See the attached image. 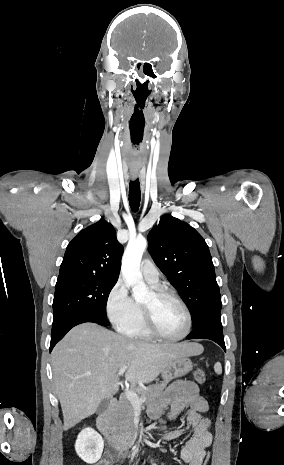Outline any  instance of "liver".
<instances>
[{"label":"liver","mask_w":284,"mask_h":465,"mask_svg":"<svg viewBox=\"0 0 284 465\" xmlns=\"http://www.w3.org/2000/svg\"><path fill=\"white\" fill-rule=\"evenodd\" d=\"M203 351L199 343L151 345L126 339L95 323L74 327L52 351L63 431L94 415L103 399H112L122 367H128L125 379L135 387L152 383L177 357H195Z\"/></svg>","instance_id":"liver-1"}]
</instances>
